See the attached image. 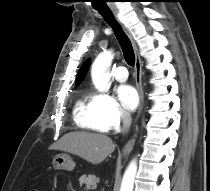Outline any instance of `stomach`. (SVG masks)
<instances>
[{
    "label": "stomach",
    "instance_id": "obj_1",
    "mask_svg": "<svg viewBox=\"0 0 210 191\" xmlns=\"http://www.w3.org/2000/svg\"><path fill=\"white\" fill-rule=\"evenodd\" d=\"M53 168L55 170L71 171L75 167V163L68 154H58L53 158Z\"/></svg>",
    "mask_w": 210,
    "mask_h": 191
}]
</instances>
